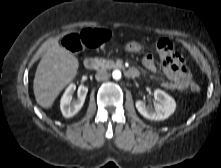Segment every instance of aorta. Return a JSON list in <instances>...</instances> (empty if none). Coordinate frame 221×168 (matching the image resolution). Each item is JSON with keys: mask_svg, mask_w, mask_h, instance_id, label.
<instances>
[{"mask_svg": "<svg viewBox=\"0 0 221 168\" xmlns=\"http://www.w3.org/2000/svg\"><path fill=\"white\" fill-rule=\"evenodd\" d=\"M112 76L115 80L121 79V71L120 70H114L112 73Z\"/></svg>", "mask_w": 221, "mask_h": 168, "instance_id": "obj_1", "label": "aorta"}]
</instances>
